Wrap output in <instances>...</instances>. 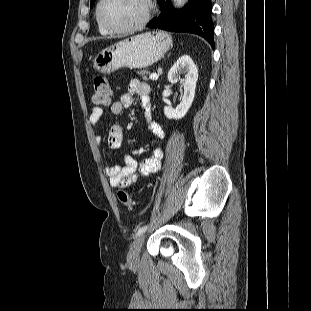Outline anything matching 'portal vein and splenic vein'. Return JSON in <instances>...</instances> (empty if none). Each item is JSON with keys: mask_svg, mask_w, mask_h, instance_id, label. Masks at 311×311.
Wrapping results in <instances>:
<instances>
[{"mask_svg": "<svg viewBox=\"0 0 311 311\" xmlns=\"http://www.w3.org/2000/svg\"><path fill=\"white\" fill-rule=\"evenodd\" d=\"M158 77H159V75H158L157 73H152V74L149 76V78H150L151 80H157Z\"/></svg>", "mask_w": 311, "mask_h": 311, "instance_id": "18ae733b", "label": "portal vein and splenic vein"}]
</instances>
